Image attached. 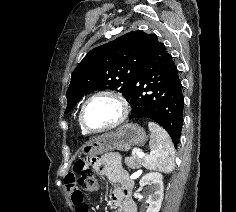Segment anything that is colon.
<instances>
[{
  "mask_svg": "<svg viewBox=\"0 0 236 212\" xmlns=\"http://www.w3.org/2000/svg\"><path fill=\"white\" fill-rule=\"evenodd\" d=\"M91 160L79 161L76 166V172L79 174L77 180L80 189L92 193L99 191V182L96 177L95 169Z\"/></svg>",
  "mask_w": 236,
  "mask_h": 212,
  "instance_id": "colon-1",
  "label": "colon"
}]
</instances>
